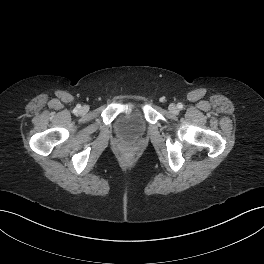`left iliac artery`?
<instances>
[{
  "label": "left iliac artery",
  "mask_w": 264,
  "mask_h": 264,
  "mask_svg": "<svg viewBox=\"0 0 264 264\" xmlns=\"http://www.w3.org/2000/svg\"><path fill=\"white\" fill-rule=\"evenodd\" d=\"M182 107H183V105H182L181 103H179V104H178V108L181 109Z\"/></svg>",
  "instance_id": "44dca946"
}]
</instances>
